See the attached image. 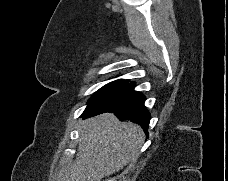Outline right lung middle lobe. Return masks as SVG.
I'll list each match as a JSON object with an SVG mask.
<instances>
[{
    "mask_svg": "<svg viewBox=\"0 0 228 181\" xmlns=\"http://www.w3.org/2000/svg\"><path fill=\"white\" fill-rule=\"evenodd\" d=\"M129 83L126 80H118L108 83L101 89H99L88 101V106L86 110L94 109L96 107L102 106L107 102L111 101L117 97L121 92H123Z\"/></svg>",
    "mask_w": 228,
    "mask_h": 181,
    "instance_id": "obj_1",
    "label": "right lung middle lobe"
}]
</instances>
